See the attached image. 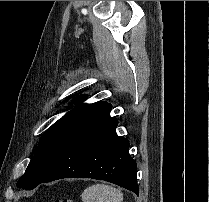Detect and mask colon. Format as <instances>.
<instances>
[{
    "label": "colon",
    "mask_w": 209,
    "mask_h": 202,
    "mask_svg": "<svg viewBox=\"0 0 209 202\" xmlns=\"http://www.w3.org/2000/svg\"><path fill=\"white\" fill-rule=\"evenodd\" d=\"M54 202H74V201H72L70 199H56V200H54Z\"/></svg>",
    "instance_id": "5ec220e1"
}]
</instances>
